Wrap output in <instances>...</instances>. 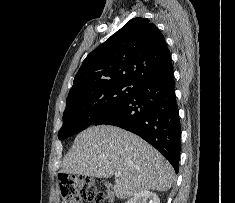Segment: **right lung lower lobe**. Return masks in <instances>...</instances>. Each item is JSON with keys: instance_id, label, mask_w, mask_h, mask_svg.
<instances>
[{"instance_id": "1", "label": "right lung lower lobe", "mask_w": 235, "mask_h": 203, "mask_svg": "<svg viewBox=\"0 0 235 203\" xmlns=\"http://www.w3.org/2000/svg\"><path fill=\"white\" fill-rule=\"evenodd\" d=\"M121 127L154 146L179 170L180 120L173 67L143 80L120 106L94 123Z\"/></svg>"}]
</instances>
